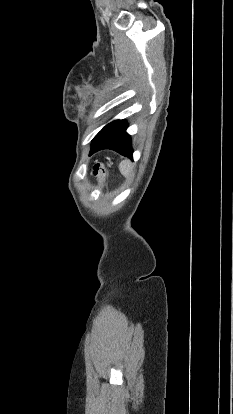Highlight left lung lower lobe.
Masks as SVG:
<instances>
[{
	"label": "left lung lower lobe",
	"mask_w": 233,
	"mask_h": 414,
	"mask_svg": "<svg viewBox=\"0 0 233 414\" xmlns=\"http://www.w3.org/2000/svg\"><path fill=\"white\" fill-rule=\"evenodd\" d=\"M126 129L127 123L124 120H115L107 124L92 140L90 154L102 149H112L132 158L131 139Z\"/></svg>",
	"instance_id": "obj_1"
}]
</instances>
